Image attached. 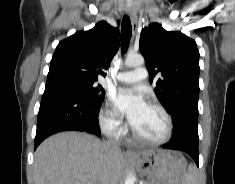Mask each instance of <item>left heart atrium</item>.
<instances>
[{
	"label": "left heart atrium",
	"mask_w": 235,
	"mask_h": 184,
	"mask_svg": "<svg viewBox=\"0 0 235 184\" xmlns=\"http://www.w3.org/2000/svg\"><path fill=\"white\" fill-rule=\"evenodd\" d=\"M111 101L115 113L125 116L132 127L148 108V103L140 90L119 89L112 94Z\"/></svg>",
	"instance_id": "obj_1"
}]
</instances>
